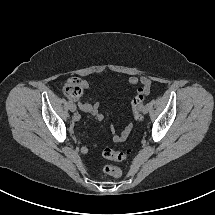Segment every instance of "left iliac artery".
Here are the masks:
<instances>
[{"label": "left iliac artery", "mask_w": 215, "mask_h": 215, "mask_svg": "<svg viewBox=\"0 0 215 215\" xmlns=\"http://www.w3.org/2000/svg\"><path fill=\"white\" fill-rule=\"evenodd\" d=\"M143 102L141 101L140 103H139V105H138V111H143Z\"/></svg>", "instance_id": "left-iliac-artery-1"}]
</instances>
